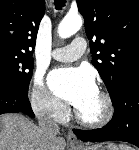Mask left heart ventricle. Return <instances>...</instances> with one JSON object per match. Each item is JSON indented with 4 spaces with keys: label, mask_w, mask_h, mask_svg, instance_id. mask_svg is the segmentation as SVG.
Instances as JSON below:
<instances>
[{
    "label": "left heart ventricle",
    "mask_w": 139,
    "mask_h": 150,
    "mask_svg": "<svg viewBox=\"0 0 139 150\" xmlns=\"http://www.w3.org/2000/svg\"><path fill=\"white\" fill-rule=\"evenodd\" d=\"M80 115L87 120H97L104 113V104L97 93L92 98H90L87 102L77 108Z\"/></svg>",
    "instance_id": "b2bd125f"
}]
</instances>
